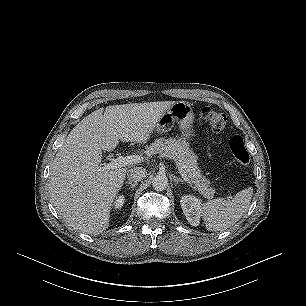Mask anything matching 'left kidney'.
Wrapping results in <instances>:
<instances>
[{"label": "left kidney", "mask_w": 306, "mask_h": 306, "mask_svg": "<svg viewBox=\"0 0 306 306\" xmlns=\"http://www.w3.org/2000/svg\"><path fill=\"white\" fill-rule=\"evenodd\" d=\"M181 208L186 219L192 226H198L200 223L201 200L192 195H185L180 200Z\"/></svg>", "instance_id": "left-kidney-1"}]
</instances>
